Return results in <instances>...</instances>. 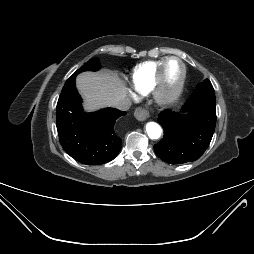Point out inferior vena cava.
<instances>
[{
  "label": "inferior vena cava",
  "instance_id": "obj_1",
  "mask_svg": "<svg viewBox=\"0 0 254 254\" xmlns=\"http://www.w3.org/2000/svg\"><path fill=\"white\" fill-rule=\"evenodd\" d=\"M112 106L119 110L126 111L131 106V102L128 98H123L113 102Z\"/></svg>",
  "mask_w": 254,
  "mask_h": 254
}]
</instances>
